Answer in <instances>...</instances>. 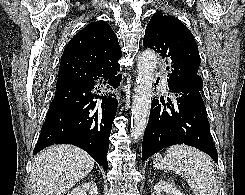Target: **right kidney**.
Instances as JSON below:
<instances>
[{
    "mask_svg": "<svg viewBox=\"0 0 245 195\" xmlns=\"http://www.w3.org/2000/svg\"><path fill=\"white\" fill-rule=\"evenodd\" d=\"M67 195H99V193L96 183L91 181L79 185Z\"/></svg>",
    "mask_w": 245,
    "mask_h": 195,
    "instance_id": "obj_1",
    "label": "right kidney"
}]
</instances>
